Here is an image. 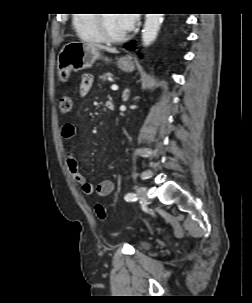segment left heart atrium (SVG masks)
I'll return each instance as SVG.
<instances>
[{"mask_svg":"<svg viewBox=\"0 0 252 303\" xmlns=\"http://www.w3.org/2000/svg\"><path fill=\"white\" fill-rule=\"evenodd\" d=\"M126 30L132 29L137 21V14H120Z\"/></svg>","mask_w":252,"mask_h":303,"instance_id":"left-heart-atrium-1","label":"left heart atrium"}]
</instances>
